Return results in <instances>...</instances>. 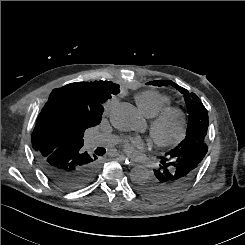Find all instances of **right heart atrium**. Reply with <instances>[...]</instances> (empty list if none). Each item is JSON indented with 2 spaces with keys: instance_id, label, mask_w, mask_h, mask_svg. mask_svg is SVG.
I'll return each instance as SVG.
<instances>
[{
  "instance_id": "obj_1",
  "label": "right heart atrium",
  "mask_w": 245,
  "mask_h": 245,
  "mask_svg": "<svg viewBox=\"0 0 245 245\" xmlns=\"http://www.w3.org/2000/svg\"><path fill=\"white\" fill-rule=\"evenodd\" d=\"M113 105H114V101H111V102L109 103V105H108L107 110H110V109L112 108Z\"/></svg>"
}]
</instances>
